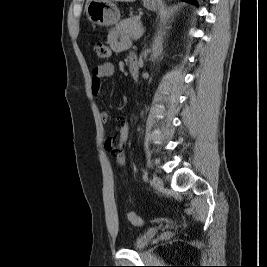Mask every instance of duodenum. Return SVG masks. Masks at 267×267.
Masks as SVG:
<instances>
[{"mask_svg":"<svg viewBox=\"0 0 267 267\" xmlns=\"http://www.w3.org/2000/svg\"><path fill=\"white\" fill-rule=\"evenodd\" d=\"M139 62L136 57H131L130 63H129V72L133 79H137L139 77Z\"/></svg>","mask_w":267,"mask_h":267,"instance_id":"obj_1","label":"duodenum"}]
</instances>
